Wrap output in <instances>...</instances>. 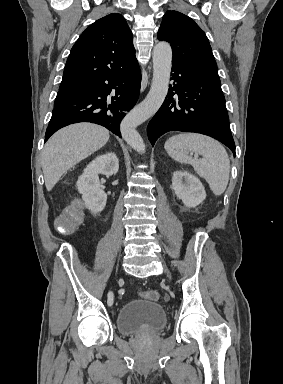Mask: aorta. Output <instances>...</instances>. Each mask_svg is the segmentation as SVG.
Masks as SVG:
<instances>
[{
    "instance_id": "1",
    "label": "aorta",
    "mask_w": 283,
    "mask_h": 384,
    "mask_svg": "<svg viewBox=\"0 0 283 384\" xmlns=\"http://www.w3.org/2000/svg\"><path fill=\"white\" fill-rule=\"evenodd\" d=\"M172 67V49L167 42H159L153 49V78L147 97L121 123L123 139L138 153L146 147L136 127L152 117L162 105L169 88Z\"/></svg>"
}]
</instances>
